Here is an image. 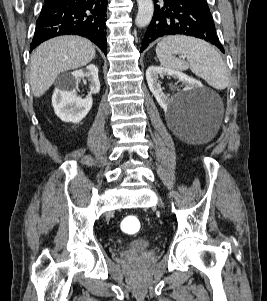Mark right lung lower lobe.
<instances>
[{
	"instance_id": "right-lung-lower-lobe-1",
	"label": "right lung lower lobe",
	"mask_w": 267,
	"mask_h": 301,
	"mask_svg": "<svg viewBox=\"0 0 267 301\" xmlns=\"http://www.w3.org/2000/svg\"><path fill=\"white\" fill-rule=\"evenodd\" d=\"M107 0H53L45 3L36 23L31 50L55 36L74 34L90 39L106 53Z\"/></svg>"
}]
</instances>
